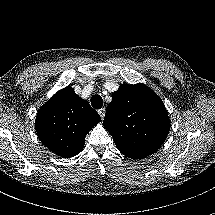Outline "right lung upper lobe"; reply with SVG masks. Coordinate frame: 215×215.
Returning <instances> with one entry per match:
<instances>
[{"label": "right lung upper lobe", "instance_id": "obj_1", "mask_svg": "<svg viewBox=\"0 0 215 215\" xmlns=\"http://www.w3.org/2000/svg\"><path fill=\"white\" fill-rule=\"evenodd\" d=\"M100 121L89 103L67 86L39 109L35 128L47 148L60 157L70 158L83 149L85 136Z\"/></svg>", "mask_w": 215, "mask_h": 215}]
</instances>
